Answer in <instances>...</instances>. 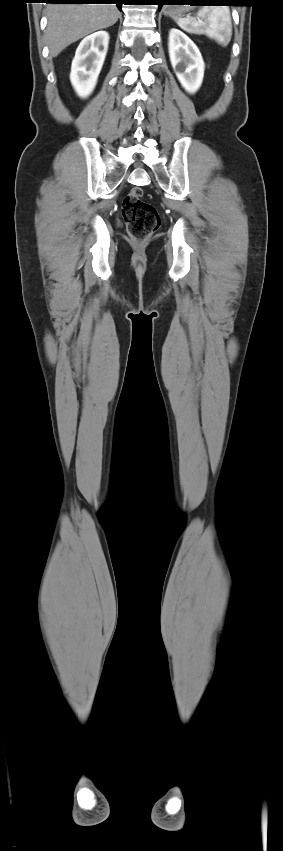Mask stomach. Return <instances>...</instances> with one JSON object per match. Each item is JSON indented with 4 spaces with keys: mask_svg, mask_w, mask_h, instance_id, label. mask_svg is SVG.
Here are the masks:
<instances>
[{
    "mask_svg": "<svg viewBox=\"0 0 283 851\" xmlns=\"http://www.w3.org/2000/svg\"><path fill=\"white\" fill-rule=\"evenodd\" d=\"M185 4V3H179ZM190 6H166L164 7V14L169 16L181 15L182 13L188 11Z\"/></svg>",
    "mask_w": 283,
    "mask_h": 851,
    "instance_id": "1",
    "label": "stomach"
}]
</instances>
